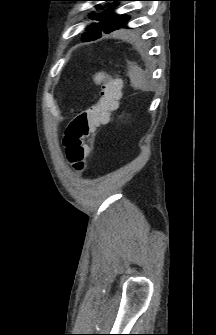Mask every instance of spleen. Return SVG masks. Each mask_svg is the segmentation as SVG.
Wrapping results in <instances>:
<instances>
[{
  "label": "spleen",
  "mask_w": 216,
  "mask_h": 335,
  "mask_svg": "<svg viewBox=\"0 0 216 335\" xmlns=\"http://www.w3.org/2000/svg\"><path fill=\"white\" fill-rule=\"evenodd\" d=\"M132 87L147 91L149 89V81L146 73L136 63H131L128 72Z\"/></svg>",
  "instance_id": "spleen-1"
}]
</instances>
